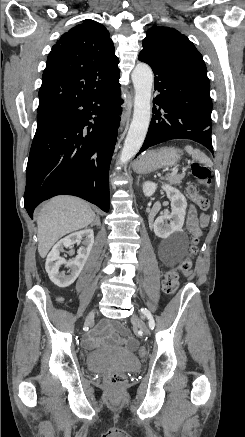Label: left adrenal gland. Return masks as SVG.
<instances>
[{"instance_id": "1", "label": "left adrenal gland", "mask_w": 245, "mask_h": 437, "mask_svg": "<svg viewBox=\"0 0 245 437\" xmlns=\"http://www.w3.org/2000/svg\"><path fill=\"white\" fill-rule=\"evenodd\" d=\"M139 178H140V177H138L137 185H139Z\"/></svg>"}]
</instances>
